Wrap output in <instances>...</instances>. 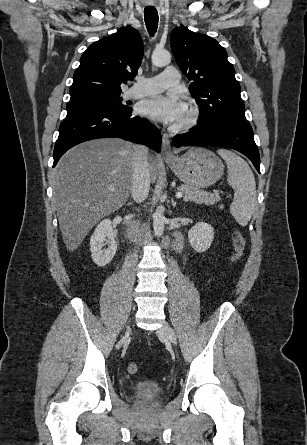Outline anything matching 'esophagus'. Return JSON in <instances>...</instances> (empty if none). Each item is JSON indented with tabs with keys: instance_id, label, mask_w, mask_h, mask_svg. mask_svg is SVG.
<instances>
[{
	"instance_id": "34e87169",
	"label": "esophagus",
	"mask_w": 307,
	"mask_h": 445,
	"mask_svg": "<svg viewBox=\"0 0 307 445\" xmlns=\"http://www.w3.org/2000/svg\"><path fill=\"white\" fill-rule=\"evenodd\" d=\"M162 156L164 158H173L175 159V156L172 152L171 145H170V137L167 133H163L162 135Z\"/></svg>"
}]
</instances>
